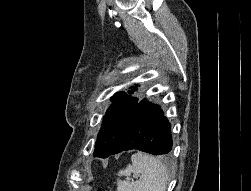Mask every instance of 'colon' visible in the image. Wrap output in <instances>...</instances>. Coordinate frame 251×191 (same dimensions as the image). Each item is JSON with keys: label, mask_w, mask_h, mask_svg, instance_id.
<instances>
[{"label": "colon", "mask_w": 251, "mask_h": 191, "mask_svg": "<svg viewBox=\"0 0 251 191\" xmlns=\"http://www.w3.org/2000/svg\"><path fill=\"white\" fill-rule=\"evenodd\" d=\"M98 191H102V189H98Z\"/></svg>", "instance_id": "5ec220e1"}]
</instances>
